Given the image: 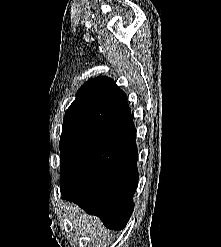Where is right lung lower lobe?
Wrapping results in <instances>:
<instances>
[{
  "instance_id": "1",
  "label": "right lung lower lobe",
  "mask_w": 221,
  "mask_h": 247,
  "mask_svg": "<svg viewBox=\"0 0 221 247\" xmlns=\"http://www.w3.org/2000/svg\"><path fill=\"white\" fill-rule=\"evenodd\" d=\"M131 112L82 130L61 154L62 199L100 217L113 230L133 212L139 174Z\"/></svg>"
}]
</instances>
